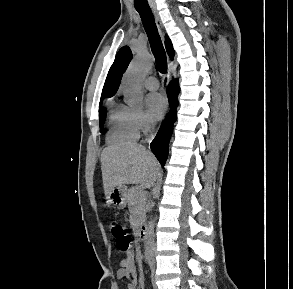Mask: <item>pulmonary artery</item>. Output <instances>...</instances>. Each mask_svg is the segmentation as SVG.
<instances>
[{
    "label": "pulmonary artery",
    "instance_id": "1",
    "mask_svg": "<svg viewBox=\"0 0 293 289\" xmlns=\"http://www.w3.org/2000/svg\"><path fill=\"white\" fill-rule=\"evenodd\" d=\"M145 87L149 90H157L159 88V81L155 77H148L145 80Z\"/></svg>",
    "mask_w": 293,
    "mask_h": 289
}]
</instances>
